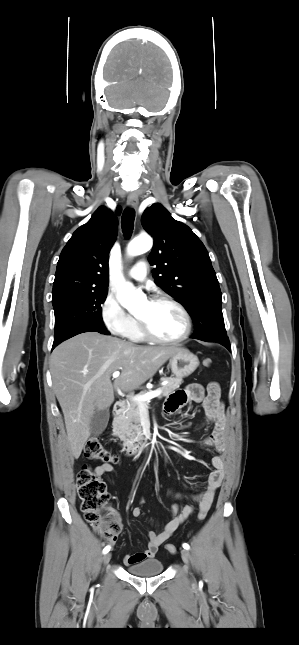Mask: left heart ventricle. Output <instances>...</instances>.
Instances as JSON below:
<instances>
[{
  "instance_id": "b2bd125f",
  "label": "left heart ventricle",
  "mask_w": 299,
  "mask_h": 645,
  "mask_svg": "<svg viewBox=\"0 0 299 645\" xmlns=\"http://www.w3.org/2000/svg\"><path fill=\"white\" fill-rule=\"evenodd\" d=\"M144 319L151 331L158 337L176 338L184 331V319L181 313L171 304L145 301L137 312Z\"/></svg>"
}]
</instances>
